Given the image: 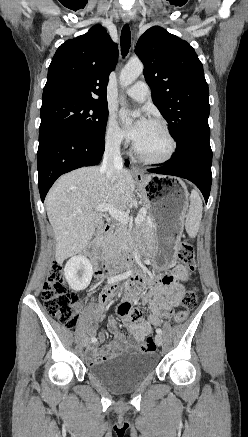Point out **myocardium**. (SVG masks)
<instances>
[{"label": "myocardium", "mask_w": 248, "mask_h": 437, "mask_svg": "<svg viewBox=\"0 0 248 437\" xmlns=\"http://www.w3.org/2000/svg\"><path fill=\"white\" fill-rule=\"evenodd\" d=\"M150 122L158 125L165 133V135L170 143V148H169L168 152L161 158L153 159V158H149V157L145 156L144 154H142L138 150V148L136 147L135 144L133 145V152L142 162L149 164V165H160V164L167 163L173 158V156L176 152L177 142H176L170 128L168 127L167 123L164 120L159 119V118H154Z\"/></svg>", "instance_id": "1"}]
</instances>
